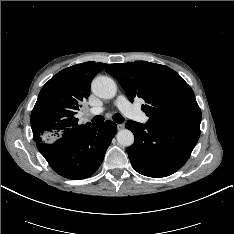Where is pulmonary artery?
Listing matches in <instances>:
<instances>
[{
  "mask_svg": "<svg viewBox=\"0 0 234 234\" xmlns=\"http://www.w3.org/2000/svg\"><path fill=\"white\" fill-rule=\"evenodd\" d=\"M115 104L126 116L134 118L141 122H145L147 120L146 116L139 110L134 108L124 95L118 96L115 101ZM103 110L104 108L102 107H95L91 108L89 110V113L91 115H97L100 114Z\"/></svg>",
  "mask_w": 234,
  "mask_h": 234,
  "instance_id": "e3ab8cb5",
  "label": "pulmonary artery"
}]
</instances>
